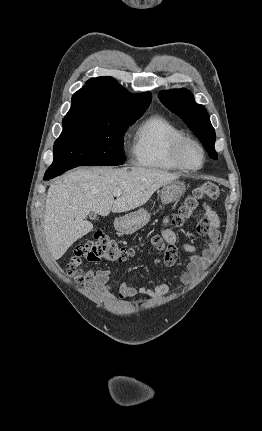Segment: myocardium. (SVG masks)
I'll use <instances>...</instances> for the list:
<instances>
[{"label": "myocardium", "instance_id": "1", "mask_svg": "<svg viewBox=\"0 0 262 431\" xmlns=\"http://www.w3.org/2000/svg\"><path fill=\"white\" fill-rule=\"evenodd\" d=\"M189 146L194 147L201 155V163L197 167H190L184 161V152ZM172 158L181 170L188 173H194L203 168L206 154L204 148L199 142L192 138L183 137L174 143L172 148Z\"/></svg>", "mask_w": 262, "mask_h": 431}]
</instances>
